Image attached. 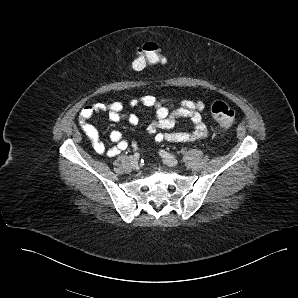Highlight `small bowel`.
<instances>
[{
    "label": "small bowel",
    "instance_id": "small-bowel-1",
    "mask_svg": "<svg viewBox=\"0 0 298 298\" xmlns=\"http://www.w3.org/2000/svg\"><path fill=\"white\" fill-rule=\"evenodd\" d=\"M130 107L144 105L155 109L154 119L147 127V133L152 136L155 143L171 142L184 143L195 142L206 138L209 130L204 123L203 115L205 103L189 99L178 100L176 98H159L153 95H145L133 98L128 102ZM107 113L112 122L126 120L133 126L138 125L139 118L134 113H125L123 103L116 101L110 104L95 103L82 108L78 116L79 125L91 141L94 151L100 155L115 157L125 151L129 144L121 132H110V140L113 145H106L101 139L97 128L90 123L96 114ZM181 118H189L194 126L190 132L170 131L179 124Z\"/></svg>",
    "mask_w": 298,
    "mask_h": 298
}]
</instances>
